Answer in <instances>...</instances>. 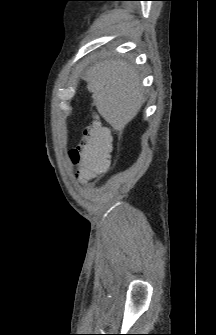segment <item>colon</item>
<instances>
[{
  "mask_svg": "<svg viewBox=\"0 0 216 335\" xmlns=\"http://www.w3.org/2000/svg\"><path fill=\"white\" fill-rule=\"evenodd\" d=\"M111 149L108 129L97 121L92 122L85 129L80 144L69 152L71 163L78 165V177L99 178V172H110Z\"/></svg>",
  "mask_w": 216,
  "mask_h": 335,
  "instance_id": "colon-1",
  "label": "colon"
}]
</instances>
